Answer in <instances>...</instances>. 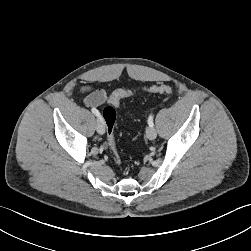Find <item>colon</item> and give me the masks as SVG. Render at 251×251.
I'll list each match as a JSON object with an SVG mask.
<instances>
[{
    "label": "colon",
    "mask_w": 251,
    "mask_h": 251,
    "mask_svg": "<svg viewBox=\"0 0 251 251\" xmlns=\"http://www.w3.org/2000/svg\"><path fill=\"white\" fill-rule=\"evenodd\" d=\"M172 88L168 85L152 86L147 89V92L154 94H171ZM135 93L131 90L119 89L110 95L109 104L103 109V117L107 125V145L112 154V158L117 165L121 164V157L117 150L115 137H114V126L116 122V107L119 105L123 98L133 96Z\"/></svg>",
    "instance_id": "obj_1"
}]
</instances>
